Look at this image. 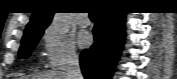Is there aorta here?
<instances>
[{
	"label": "aorta",
	"mask_w": 177,
	"mask_h": 79,
	"mask_svg": "<svg viewBox=\"0 0 177 79\" xmlns=\"http://www.w3.org/2000/svg\"><path fill=\"white\" fill-rule=\"evenodd\" d=\"M51 26L59 33H66L70 27V21L67 13H56L53 17Z\"/></svg>",
	"instance_id": "1"
}]
</instances>
